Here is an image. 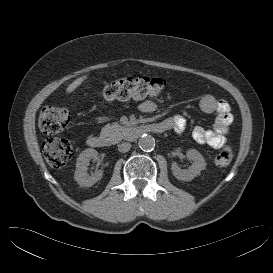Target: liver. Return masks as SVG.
Here are the masks:
<instances>
[{
  "label": "liver",
  "instance_id": "liver-1",
  "mask_svg": "<svg viewBox=\"0 0 273 273\" xmlns=\"http://www.w3.org/2000/svg\"><path fill=\"white\" fill-rule=\"evenodd\" d=\"M87 79V75H84L82 77L77 78L74 80L70 85H68L66 92L72 93L77 87H79L82 82H84Z\"/></svg>",
  "mask_w": 273,
  "mask_h": 273
}]
</instances>
